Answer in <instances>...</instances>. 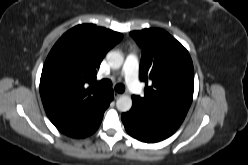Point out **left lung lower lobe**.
I'll return each mask as SVG.
<instances>
[{"label":"left lung lower lobe","instance_id":"obj_1","mask_svg":"<svg viewBox=\"0 0 248 165\" xmlns=\"http://www.w3.org/2000/svg\"><path fill=\"white\" fill-rule=\"evenodd\" d=\"M129 135L143 142H159L171 136L182 122L148 111L133 103L131 110L121 115Z\"/></svg>","mask_w":248,"mask_h":165}]
</instances>
